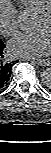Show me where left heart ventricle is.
Instances as JSON below:
<instances>
[{
  "instance_id": "obj_1",
  "label": "left heart ventricle",
  "mask_w": 51,
  "mask_h": 153,
  "mask_svg": "<svg viewBox=\"0 0 51 153\" xmlns=\"http://www.w3.org/2000/svg\"><path fill=\"white\" fill-rule=\"evenodd\" d=\"M36 29L38 30H48L51 31V18L50 17H46V16H42V15H38L37 20H36Z\"/></svg>"
}]
</instances>
